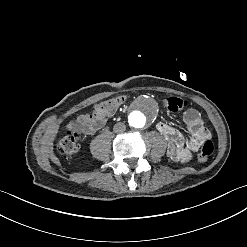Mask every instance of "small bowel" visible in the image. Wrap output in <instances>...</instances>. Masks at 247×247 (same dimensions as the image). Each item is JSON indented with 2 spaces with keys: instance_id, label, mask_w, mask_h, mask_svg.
<instances>
[{
  "instance_id": "small-bowel-1",
  "label": "small bowel",
  "mask_w": 247,
  "mask_h": 247,
  "mask_svg": "<svg viewBox=\"0 0 247 247\" xmlns=\"http://www.w3.org/2000/svg\"><path fill=\"white\" fill-rule=\"evenodd\" d=\"M106 120L107 116L100 114L96 108L88 114L79 115L67 124V128L78 134L92 135L105 125ZM182 122L190 132L189 138H184L182 134L163 121H159L156 124V128L165 136L168 142V157L175 161L186 163L191 160L193 153L199 149L205 138L204 134L208 130L196 109L187 110L182 117Z\"/></svg>"
}]
</instances>
